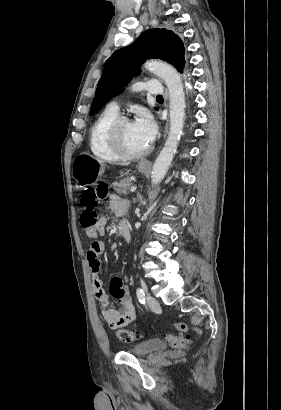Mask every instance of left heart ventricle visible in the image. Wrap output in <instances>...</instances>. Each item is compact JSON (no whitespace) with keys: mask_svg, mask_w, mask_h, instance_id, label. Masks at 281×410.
Segmentation results:
<instances>
[{"mask_svg":"<svg viewBox=\"0 0 281 410\" xmlns=\"http://www.w3.org/2000/svg\"><path fill=\"white\" fill-rule=\"evenodd\" d=\"M120 137L124 145L131 151H140L148 146L140 139L130 121L124 122L120 126Z\"/></svg>","mask_w":281,"mask_h":410,"instance_id":"1","label":"left heart ventricle"}]
</instances>
